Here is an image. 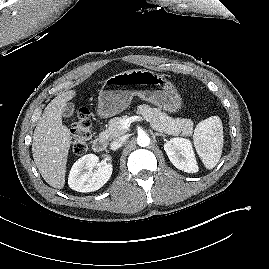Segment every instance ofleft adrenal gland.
I'll return each instance as SVG.
<instances>
[{
  "label": "left adrenal gland",
  "instance_id": "1",
  "mask_svg": "<svg viewBox=\"0 0 269 269\" xmlns=\"http://www.w3.org/2000/svg\"><path fill=\"white\" fill-rule=\"evenodd\" d=\"M152 134H153L154 137H155V136H162V137H165V135L162 134V133H152Z\"/></svg>",
  "mask_w": 269,
  "mask_h": 269
}]
</instances>
